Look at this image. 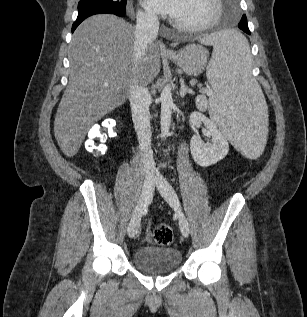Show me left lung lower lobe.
<instances>
[{
    "instance_id": "obj_1",
    "label": "left lung lower lobe",
    "mask_w": 307,
    "mask_h": 317,
    "mask_svg": "<svg viewBox=\"0 0 307 317\" xmlns=\"http://www.w3.org/2000/svg\"><path fill=\"white\" fill-rule=\"evenodd\" d=\"M238 27L244 31L245 33L249 34L250 35V31H249V28H248V24H247V20H242L240 21V23L238 24Z\"/></svg>"
}]
</instances>
